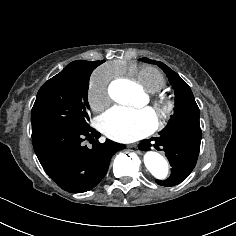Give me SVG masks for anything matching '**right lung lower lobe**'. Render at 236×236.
Masks as SVG:
<instances>
[{"label":"right lung lower lobe","instance_id":"98d812e1","mask_svg":"<svg viewBox=\"0 0 236 236\" xmlns=\"http://www.w3.org/2000/svg\"><path fill=\"white\" fill-rule=\"evenodd\" d=\"M99 137L89 125L83 129L63 126L32 133V142L42 167L58 186L82 193L101 181L113 154L126 147L108 139L101 144ZM85 140L92 142V148L84 146Z\"/></svg>","mask_w":236,"mask_h":236}]
</instances>
